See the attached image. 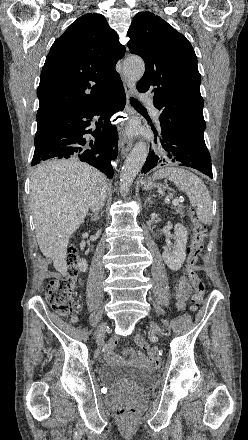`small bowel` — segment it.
Returning <instances> with one entry per match:
<instances>
[{"instance_id": "obj_1", "label": "small bowel", "mask_w": 248, "mask_h": 440, "mask_svg": "<svg viewBox=\"0 0 248 440\" xmlns=\"http://www.w3.org/2000/svg\"><path fill=\"white\" fill-rule=\"evenodd\" d=\"M174 288H175V293H176V297H177V306L180 310H184L186 301H187L189 294H190V285H189L187 278L185 276H178L174 281ZM117 343H118L117 336H113L109 340L108 346H107V359H109V360L115 359L114 351H115V347H116ZM121 344H122V346L127 347V346H129L130 341H129V339L124 338V339H122ZM132 357L134 359L141 361V362H151L152 364L157 363V361L154 357V353H150L149 357H147L143 353L132 354Z\"/></svg>"}]
</instances>
